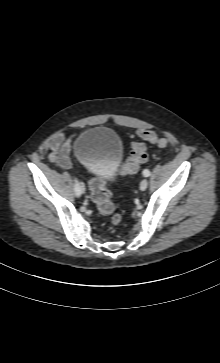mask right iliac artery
<instances>
[{
  "label": "right iliac artery",
  "mask_w": 220,
  "mask_h": 363,
  "mask_svg": "<svg viewBox=\"0 0 220 363\" xmlns=\"http://www.w3.org/2000/svg\"><path fill=\"white\" fill-rule=\"evenodd\" d=\"M74 182H75V184H74L75 195L79 197L82 193L81 186H80L81 183H79L76 178H75Z\"/></svg>",
  "instance_id": "1"
}]
</instances>
